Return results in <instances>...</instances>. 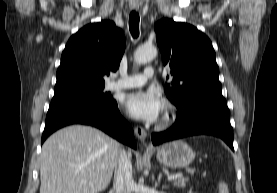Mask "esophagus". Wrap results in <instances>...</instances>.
I'll use <instances>...</instances> for the list:
<instances>
[{"label":"esophagus","mask_w":277,"mask_h":193,"mask_svg":"<svg viewBox=\"0 0 277 193\" xmlns=\"http://www.w3.org/2000/svg\"><path fill=\"white\" fill-rule=\"evenodd\" d=\"M130 8H131L132 10H139V4H138V3H135V2H131V3H130ZM134 132H135L137 138H138L141 142H144V141H145L146 136H147V132L145 131L144 128H142L141 126H137V127H135Z\"/></svg>","instance_id":"1"}]
</instances>
